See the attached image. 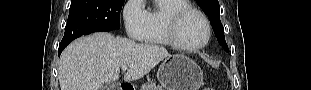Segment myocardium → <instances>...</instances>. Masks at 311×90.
Returning a JSON list of instances; mask_svg holds the SVG:
<instances>
[{
	"label": "myocardium",
	"mask_w": 311,
	"mask_h": 90,
	"mask_svg": "<svg viewBox=\"0 0 311 90\" xmlns=\"http://www.w3.org/2000/svg\"><path fill=\"white\" fill-rule=\"evenodd\" d=\"M197 14L198 16H200V18L203 20L204 24H205V28H206V36L205 39L197 45H188L186 43L183 42V40L180 37L179 34V28L180 25L182 23V21L184 20V18L189 15V14ZM166 27H167V33H168V37L172 43V45L174 47H176L179 50L182 51H199L201 49H203L209 42L210 38H211V25H210V21L207 18V16L200 10L192 7V6H188V7H183L180 8L176 11H174L167 19L166 21Z\"/></svg>",
	"instance_id": "obj_1"
}]
</instances>
